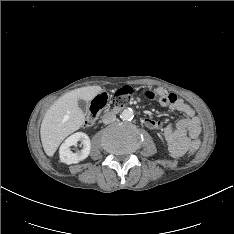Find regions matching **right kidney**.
<instances>
[{
  "mask_svg": "<svg viewBox=\"0 0 234 234\" xmlns=\"http://www.w3.org/2000/svg\"><path fill=\"white\" fill-rule=\"evenodd\" d=\"M81 141L83 148L80 151L72 152L71 147L76 146ZM91 150L90 138L83 132H77L69 136L60 146V160L66 164H75L86 159Z\"/></svg>",
  "mask_w": 234,
  "mask_h": 234,
  "instance_id": "1",
  "label": "right kidney"
}]
</instances>
